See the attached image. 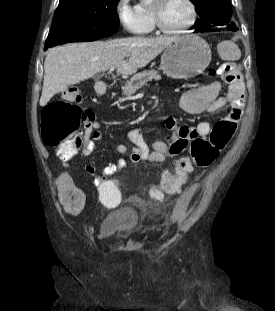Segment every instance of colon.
Masks as SVG:
<instances>
[{"label":"colon","instance_id":"colon-1","mask_svg":"<svg viewBox=\"0 0 275 311\" xmlns=\"http://www.w3.org/2000/svg\"><path fill=\"white\" fill-rule=\"evenodd\" d=\"M220 75L230 81L234 76V66L225 61L219 66ZM69 100H60L46 105L42 111L41 134L45 145L55 150L61 159H70L85 147L81 126L86 125L93 117L91 111L82 110L76 101L79 91L70 92ZM237 128V119L218 118L208 139L193 137L187 144L190 156H182L177 160L176 173L165 172L158 188L150 191L154 200L160 201L167 195L179 191L192 170L213 165L221 152L231 141ZM185 148V149H186ZM184 149V150H185ZM117 178H104L103 183H97L99 200L107 205L120 201Z\"/></svg>","mask_w":275,"mask_h":311}]
</instances>
